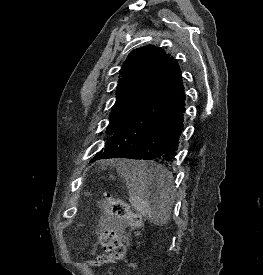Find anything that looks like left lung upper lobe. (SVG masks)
<instances>
[{
  "instance_id": "obj_1",
  "label": "left lung upper lobe",
  "mask_w": 263,
  "mask_h": 275,
  "mask_svg": "<svg viewBox=\"0 0 263 275\" xmlns=\"http://www.w3.org/2000/svg\"><path fill=\"white\" fill-rule=\"evenodd\" d=\"M173 62V57L154 45L137 48L128 55L120 70L108 135H113L127 121Z\"/></svg>"
}]
</instances>
